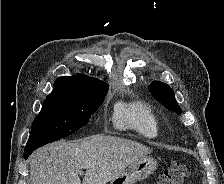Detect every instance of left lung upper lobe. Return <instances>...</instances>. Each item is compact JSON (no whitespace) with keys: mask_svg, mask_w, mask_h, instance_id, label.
<instances>
[{"mask_svg":"<svg viewBox=\"0 0 224 184\" xmlns=\"http://www.w3.org/2000/svg\"><path fill=\"white\" fill-rule=\"evenodd\" d=\"M148 88L152 96L164 107L171 111H174L178 115L181 114V108L176 102L174 91L169 87V85L162 82L154 81Z\"/></svg>","mask_w":224,"mask_h":184,"instance_id":"1","label":"left lung upper lobe"}]
</instances>
